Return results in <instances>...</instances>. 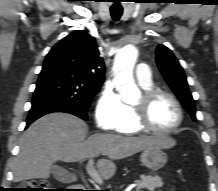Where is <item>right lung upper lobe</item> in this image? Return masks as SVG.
I'll return each instance as SVG.
<instances>
[{"label": "right lung upper lobe", "instance_id": "1", "mask_svg": "<svg viewBox=\"0 0 218 191\" xmlns=\"http://www.w3.org/2000/svg\"><path fill=\"white\" fill-rule=\"evenodd\" d=\"M44 63L63 66L97 84L104 81L103 59L95 39L85 31H75L55 44Z\"/></svg>", "mask_w": 218, "mask_h": 191}]
</instances>
